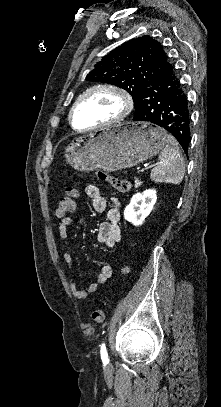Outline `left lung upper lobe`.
I'll list each match as a JSON object with an SVG mask.
<instances>
[{"label": "left lung upper lobe", "mask_w": 221, "mask_h": 407, "mask_svg": "<svg viewBox=\"0 0 221 407\" xmlns=\"http://www.w3.org/2000/svg\"><path fill=\"white\" fill-rule=\"evenodd\" d=\"M169 65L161 43L150 36H142L121 44L102 57L86 78L125 89L133 97L136 107L143 88Z\"/></svg>", "instance_id": "1"}]
</instances>
